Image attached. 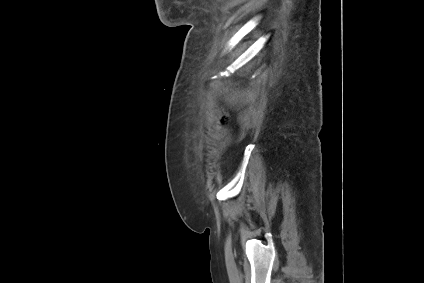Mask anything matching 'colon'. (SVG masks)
<instances>
[{
	"label": "colon",
	"instance_id": "5ec220e1",
	"mask_svg": "<svg viewBox=\"0 0 424 283\" xmlns=\"http://www.w3.org/2000/svg\"><path fill=\"white\" fill-rule=\"evenodd\" d=\"M225 120H226V117L222 116L221 117V122H225Z\"/></svg>",
	"mask_w": 424,
	"mask_h": 283
}]
</instances>
